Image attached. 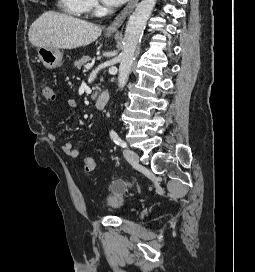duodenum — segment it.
<instances>
[{"mask_svg": "<svg viewBox=\"0 0 255 272\" xmlns=\"http://www.w3.org/2000/svg\"><path fill=\"white\" fill-rule=\"evenodd\" d=\"M109 100H110V94H109V92L108 91H103L97 97V99L95 101V107L98 110H103L106 107V105L108 104Z\"/></svg>", "mask_w": 255, "mask_h": 272, "instance_id": "410a0bca", "label": "duodenum"}]
</instances>
